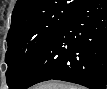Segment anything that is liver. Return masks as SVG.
<instances>
[{"label":"liver","mask_w":107,"mask_h":89,"mask_svg":"<svg viewBox=\"0 0 107 89\" xmlns=\"http://www.w3.org/2000/svg\"><path fill=\"white\" fill-rule=\"evenodd\" d=\"M61 84L62 83H59V82H48V83L36 86L35 89H58L59 85Z\"/></svg>","instance_id":"6515ba94"}]
</instances>
